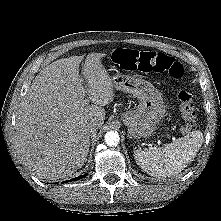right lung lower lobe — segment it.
Returning a JSON list of instances; mask_svg holds the SVG:
<instances>
[{
    "instance_id": "1",
    "label": "right lung lower lobe",
    "mask_w": 221,
    "mask_h": 221,
    "mask_svg": "<svg viewBox=\"0 0 221 221\" xmlns=\"http://www.w3.org/2000/svg\"><path fill=\"white\" fill-rule=\"evenodd\" d=\"M83 177H84V176H78V177H76V178H74V179L65 181V183H66V182H69V181H77V180H79V179H81V178H83ZM63 183H64V182H63Z\"/></svg>"
}]
</instances>
